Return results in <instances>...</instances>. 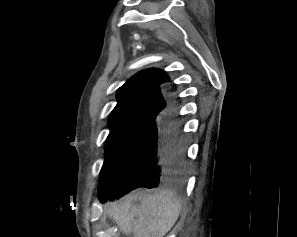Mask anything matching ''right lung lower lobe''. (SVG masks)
Wrapping results in <instances>:
<instances>
[{"instance_id":"obj_1","label":"right lung lower lobe","mask_w":297,"mask_h":237,"mask_svg":"<svg viewBox=\"0 0 297 237\" xmlns=\"http://www.w3.org/2000/svg\"><path fill=\"white\" fill-rule=\"evenodd\" d=\"M176 102L154 117L128 156L115 188L100 190V201L118 199L139 188L170 182L184 169V146Z\"/></svg>"}]
</instances>
